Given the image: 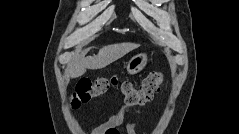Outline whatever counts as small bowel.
I'll list each match as a JSON object with an SVG mask.
<instances>
[{"instance_id": "small-bowel-1", "label": "small bowel", "mask_w": 239, "mask_h": 134, "mask_svg": "<svg viewBox=\"0 0 239 134\" xmlns=\"http://www.w3.org/2000/svg\"><path fill=\"white\" fill-rule=\"evenodd\" d=\"M128 113L135 114L133 120H131L126 126L127 134H135L136 126L141 117L140 112L133 109L131 106L120 107L105 123L93 128L92 134H120L119 126L124 121V116Z\"/></svg>"}]
</instances>
